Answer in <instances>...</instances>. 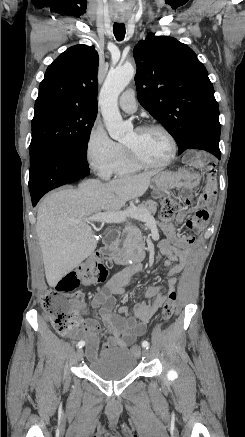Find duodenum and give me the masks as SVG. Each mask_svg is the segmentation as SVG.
<instances>
[{"mask_svg":"<svg viewBox=\"0 0 245 437\" xmlns=\"http://www.w3.org/2000/svg\"><path fill=\"white\" fill-rule=\"evenodd\" d=\"M118 238V232L111 231L105 240V247L101 249V255L109 260H114L118 263L133 262V266L124 271L123 273L116 275L120 282H125L129 277L140 271L143 267V260L145 258V250L143 247L136 246L130 249H120L116 246V240Z\"/></svg>","mask_w":245,"mask_h":437,"instance_id":"duodenum-1","label":"duodenum"}]
</instances>
